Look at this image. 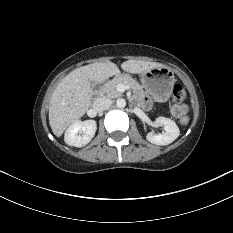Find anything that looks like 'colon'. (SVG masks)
Here are the masks:
<instances>
[{"instance_id":"5ec220e1","label":"colon","mask_w":233,"mask_h":233,"mask_svg":"<svg viewBox=\"0 0 233 233\" xmlns=\"http://www.w3.org/2000/svg\"><path fill=\"white\" fill-rule=\"evenodd\" d=\"M172 97H173V101L179 106H181L180 104L183 103L186 97L184 88L181 85L176 84L172 90ZM180 122L182 125H187L189 123V118L187 116H183Z\"/></svg>"}]
</instances>
